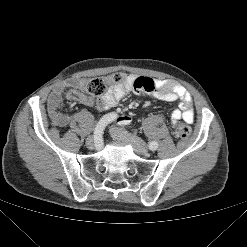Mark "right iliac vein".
<instances>
[{
    "mask_svg": "<svg viewBox=\"0 0 247 247\" xmlns=\"http://www.w3.org/2000/svg\"><path fill=\"white\" fill-rule=\"evenodd\" d=\"M86 146L89 149H94L95 148V141H94L93 137H88L87 138V140H86Z\"/></svg>",
    "mask_w": 247,
    "mask_h": 247,
    "instance_id": "63e3f726",
    "label": "right iliac vein"
}]
</instances>
